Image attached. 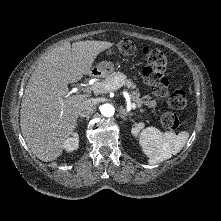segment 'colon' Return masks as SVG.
Wrapping results in <instances>:
<instances>
[{"mask_svg":"<svg viewBox=\"0 0 221 221\" xmlns=\"http://www.w3.org/2000/svg\"><path fill=\"white\" fill-rule=\"evenodd\" d=\"M135 51V44L129 39H123L110 51V54L118 52L122 55H131ZM142 54L148 63L142 71L145 82L152 86L153 92L157 96L166 98L172 109H183L187 104L185 92L181 89H171L164 75L167 67L165 53L161 49L146 46L142 49ZM160 121L162 126L168 130H176L179 126V119L172 111L165 112Z\"/></svg>","mask_w":221,"mask_h":221,"instance_id":"5ec220e1","label":"colon"}]
</instances>
